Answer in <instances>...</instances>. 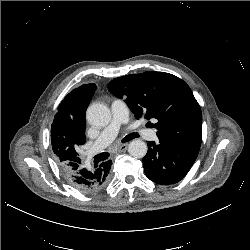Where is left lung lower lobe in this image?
Wrapping results in <instances>:
<instances>
[{"mask_svg":"<svg viewBox=\"0 0 250 250\" xmlns=\"http://www.w3.org/2000/svg\"><path fill=\"white\" fill-rule=\"evenodd\" d=\"M148 152L143 158L146 176L161 185L174 184L185 177L195 162L199 149L180 147L154 141L147 142Z\"/></svg>","mask_w":250,"mask_h":250,"instance_id":"0a47b994","label":"left lung lower lobe"}]
</instances>
